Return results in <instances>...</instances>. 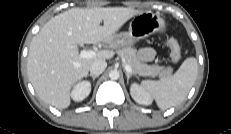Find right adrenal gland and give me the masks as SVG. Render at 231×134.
<instances>
[{
  "label": "right adrenal gland",
  "instance_id": "1",
  "mask_svg": "<svg viewBox=\"0 0 231 134\" xmlns=\"http://www.w3.org/2000/svg\"><path fill=\"white\" fill-rule=\"evenodd\" d=\"M89 76L93 78V81H95V79L98 77V76L92 75V74H90Z\"/></svg>",
  "mask_w": 231,
  "mask_h": 134
}]
</instances>
